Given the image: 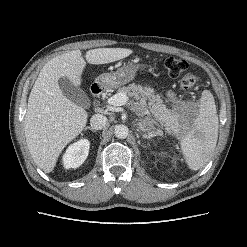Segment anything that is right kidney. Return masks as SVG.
<instances>
[{
    "mask_svg": "<svg viewBox=\"0 0 247 247\" xmlns=\"http://www.w3.org/2000/svg\"><path fill=\"white\" fill-rule=\"evenodd\" d=\"M90 148V142L87 139H81L71 144L62 157L64 168H77L86 160Z\"/></svg>",
    "mask_w": 247,
    "mask_h": 247,
    "instance_id": "1",
    "label": "right kidney"
}]
</instances>
